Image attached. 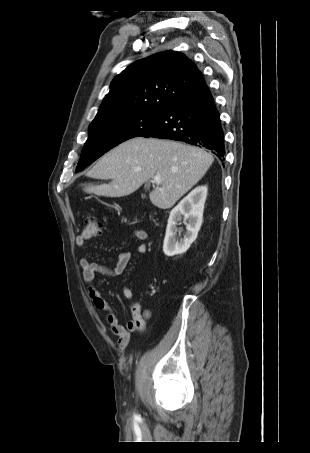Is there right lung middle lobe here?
<instances>
[{"mask_svg": "<svg viewBox=\"0 0 310 453\" xmlns=\"http://www.w3.org/2000/svg\"><path fill=\"white\" fill-rule=\"evenodd\" d=\"M162 112H121L93 120L76 172L83 170L116 145L139 136L158 120Z\"/></svg>", "mask_w": 310, "mask_h": 453, "instance_id": "1", "label": "right lung middle lobe"}]
</instances>
